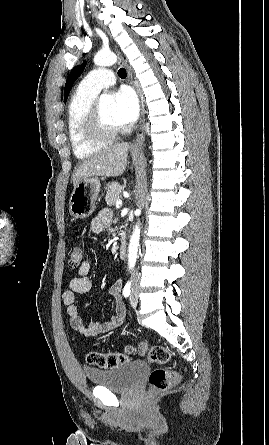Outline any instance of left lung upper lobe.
Instances as JSON below:
<instances>
[{
    "label": "left lung upper lobe",
    "mask_w": 269,
    "mask_h": 445,
    "mask_svg": "<svg viewBox=\"0 0 269 445\" xmlns=\"http://www.w3.org/2000/svg\"><path fill=\"white\" fill-rule=\"evenodd\" d=\"M86 65V61L83 62L82 65L79 66H75L73 68V70L71 71V73L69 74L67 81H66V85H65V89H64V100L65 102L67 101L69 92L73 86V83L77 80V78L82 74L84 68Z\"/></svg>",
    "instance_id": "1"
}]
</instances>
